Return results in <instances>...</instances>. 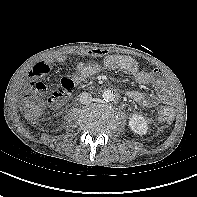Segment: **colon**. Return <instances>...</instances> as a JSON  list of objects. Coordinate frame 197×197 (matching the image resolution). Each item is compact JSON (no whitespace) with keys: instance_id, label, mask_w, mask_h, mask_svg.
I'll use <instances>...</instances> for the list:
<instances>
[{"instance_id":"5ec220e1","label":"colon","mask_w":197,"mask_h":197,"mask_svg":"<svg viewBox=\"0 0 197 197\" xmlns=\"http://www.w3.org/2000/svg\"><path fill=\"white\" fill-rule=\"evenodd\" d=\"M74 81L71 78H64L60 81L58 89L51 95L49 102L51 105H60L67 94L74 88ZM46 86L43 82L32 83V89L25 95L22 107L29 118L35 119L39 116ZM159 119L162 122H170L174 117V110L170 106H161L158 111Z\"/></svg>"}]
</instances>
